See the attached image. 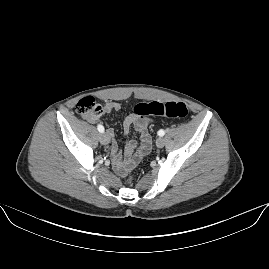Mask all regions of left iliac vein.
Wrapping results in <instances>:
<instances>
[{"label":"left iliac vein","mask_w":269,"mask_h":269,"mask_svg":"<svg viewBox=\"0 0 269 269\" xmlns=\"http://www.w3.org/2000/svg\"><path fill=\"white\" fill-rule=\"evenodd\" d=\"M164 143H165V140H164L163 137H159V138L157 139V141H156V145H157L159 148L163 147V146H164Z\"/></svg>","instance_id":"4c4485c4"}]
</instances>
